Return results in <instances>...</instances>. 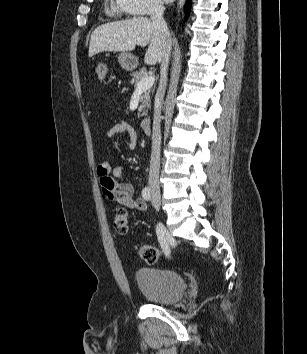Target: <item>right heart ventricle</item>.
Instances as JSON below:
<instances>
[{
	"label": "right heart ventricle",
	"mask_w": 307,
	"mask_h": 354,
	"mask_svg": "<svg viewBox=\"0 0 307 354\" xmlns=\"http://www.w3.org/2000/svg\"><path fill=\"white\" fill-rule=\"evenodd\" d=\"M122 12L128 13L125 8L123 7L122 3L119 0H115L111 5V13L112 14H119Z\"/></svg>",
	"instance_id": "right-heart-ventricle-1"
}]
</instances>
